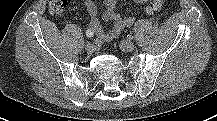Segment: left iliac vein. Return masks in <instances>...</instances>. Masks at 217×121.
<instances>
[{
	"mask_svg": "<svg viewBox=\"0 0 217 121\" xmlns=\"http://www.w3.org/2000/svg\"><path fill=\"white\" fill-rule=\"evenodd\" d=\"M122 51L131 52L134 49V43L130 40H123L119 44Z\"/></svg>",
	"mask_w": 217,
	"mask_h": 121,
	"instance_id": "obj_1",
	"label": "left iliac vein"
}]
</instances>
